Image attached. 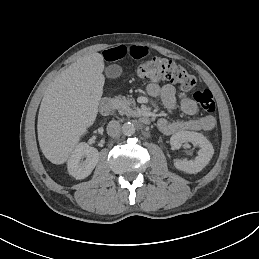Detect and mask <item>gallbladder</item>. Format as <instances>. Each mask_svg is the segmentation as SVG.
<instances>
[{
	"label": "gallbladder",
	"instance_id": "gallbladder-1",
	"mask_svg": "<svg viewBox=\"0 0 259 259\" xmlns=\"http://www.w3.org/2000/svg\"><path fill=\"white\" fill-rule=\"evenodd\" d=\"M122 72V67L117 64H110L103 71L107 79H117L121 76Z\"/></svg>",
	"mask_w": 259,
	"mask_h": 259
}]
</instances>
